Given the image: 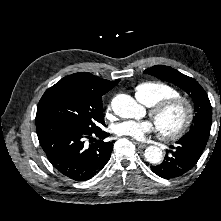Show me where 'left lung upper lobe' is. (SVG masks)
I'll return each mask as SVG.
<instances>
[{
	"instance_id": "left-lung-upper-lobe-1",
	"label": "left lung upper lobe",
	"mask_w": 221,
	"mask_h": 221,
	"mask_svg": "<svg viewBox=\"0 0 221 221\" xmlns=\"http://www.w3.org/2000/svg\"><path fill=\"white\" fill-rule=\"evenodd\" d=\"M144 73L173 83L192 97L196 114L193 118L190 131L187 134H192L198 131L210 132L212 124V107L207 93L196 80L169 66L163 65H156L148 68Z\"/></svg>"
}]
</instances>
